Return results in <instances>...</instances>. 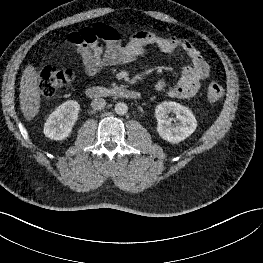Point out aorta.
Returning a JSON list of instances; mask_svg holds the SVG:
<instances>
[{
    "label": "aorta",
    "instance_id": "762f6f07",
    "mask_svg": "<svg viewBox=\"0 0 263 263\" xmlns=\"http://www.w3.org/2000/svg\"><path fill=\"white\" fill-rule=\"evenodd\" d=\"M115 112L118 114V115H124L127 113L128 111V106L126 103L124 102H118L116 105H115V108H114Z\"/></svg>",
    "mask_w": 263,
    "mask_h": 263
}]
</instances>
